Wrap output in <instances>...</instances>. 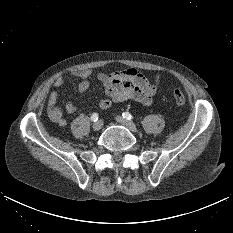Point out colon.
<instances>
[{"label":"colon","mask_w":233,"mask_h":233,"mask_svg":"<svg viewBox=\"0 0 233 233\" xmlns=\"http://www.w3.org/2000/svg\"><path fill=\"white\" fill-rule=\"evenodd\" d=\"M172 96L174 98V101L177 105L183 106L186 104V97L180 90H174L172 92Z\"/></svg>","instance_id":"5ec220e1"}]
</instances>
